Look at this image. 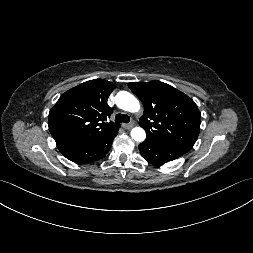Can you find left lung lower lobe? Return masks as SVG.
Here are the masks:
<instances>
[{
  "label": "left lung lower lobe",
  "mask_w": 253,
  "mask_h": 253,
  "mask_svg": "<svg viewBox=\"0 0 253 253\" xmlns=\"http://www.w3.org/2000/svg\"><path fill=\"white\" fill-rule=\"evenodd\" d=\"M139 150L143 158L156 166H161L187 153L182 148L149 140L141 143Z\"/></svg>",
  "instance_id": "1"
}]
</instances>
